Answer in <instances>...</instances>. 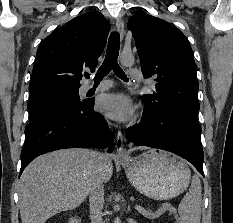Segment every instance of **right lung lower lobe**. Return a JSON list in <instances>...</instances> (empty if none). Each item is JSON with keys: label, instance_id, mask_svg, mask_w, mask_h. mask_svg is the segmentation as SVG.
Wrapping results in <instances>:
<instances>
[{"label": "right lung lower lobe", "instance_id": "98d812e1", "mask_svg": "<svg viewBox=\"0 0 233 223\" xmlns=\"http://www.w3.org/2000/svg\"><path fill=\"white\" fill-rule=\"evenodd\" d=\"M63 113L38 118L25 129L21 170L37 156L61 148H106L112 151L114 135L104 117L93 110L94 100ZM19 175V176H20Z\"/></svg>", "mask_w": 233, "mask_h": 223}]
</instances>
